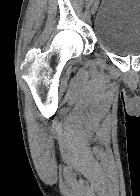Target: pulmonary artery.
<instances>
[{
  "instance_id": "1",
  "label": "pulmonary artery",
  "mask_w": 140,
  "mask_h": 196,
  "mask_svg": "<svg viewBox=\"0 0 140 196\" xmlns=\"http://www.w3.org/2000/svg\"><path fill=\"white\" fill-rule=\"evenodd\" d=\"M62 192H84V191H62Z\"/></svg>"
}]
</instances>
